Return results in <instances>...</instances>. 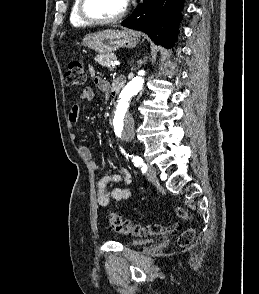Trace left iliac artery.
I'll return each instance as SVG.
<instances>
[{"label":"left iliac artery","mask_w":259,"mask_h":294,"mask_svg":"<svg viewBox=\"0 0 259 294\" xmlns=\"http://www.w3.org/2000/svg\"><path fill=\"white\" fill-rule=\"evenodd\" d=\"M122 153H124V155H126V157H132V155L126 154L125 151L121 148ZM132 162H134V165L136 167H142L143 171L147 170V166L144 164L143 159L139 156H134L132 158Z\"/></svg>","instance_id":"1"}]
</instances>
